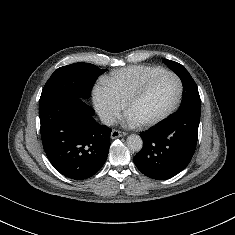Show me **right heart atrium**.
Returning a JSON list of instances; mask_svg holds the SVG:
<instances>
[{"instance_id":"d8ad5b80","label":"right heart atrium","mask_w":235,"mask_h":235,"mask_svg":"<svg viewBox=\"0 0 235 235\" xmlns=\"http://www.w3.org/2000/svg\"><path fill=\"white\" fill-rule=\"evenodd\" d=\"M92 97L94 107L105 123L114 122L124 109V104L105 84L96 85Z\"/></svg>"}]
</instances>
